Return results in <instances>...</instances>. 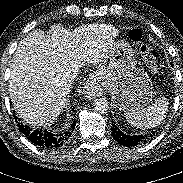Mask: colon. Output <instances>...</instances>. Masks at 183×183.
Segmentation results:
<instances>
[{
    "label": "colon",
    "mask_w": 183,
    "mask_h": 183,
    "mask_svg": "<svg viewBox=\"0 0 183 183\" xmlns=\"http://www.w3.org/2000/svg\"><path fill=\"white\" fill-rule=\"evenodd\" d=\"M129 37L135 41L140 42L142 39V32L141 30L134 28L129 31ZM140 51L149 65L154 69L157 70L158 66V59H159V51L151 46L142 44L140 46Z\"/></svg>",
    "instance_id": "colon-1"
}]
</instances>
